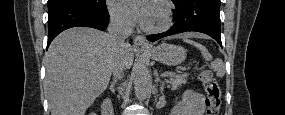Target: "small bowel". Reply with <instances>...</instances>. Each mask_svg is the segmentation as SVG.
I'll list each match as a JSON object with an SVG mask.
<instances>
[{
	"instance_id": "c3829d8e",
	"label": "small bowel",
	"mask_w": 285,
	"mask_h": 115,
	"mask_svg": "<svg viewBox=\"0 0 285 115\" xmlns=\"http://www.w3.org/2000/svg\"><path fill=\"white\" fill-rule=\"evenodd\" d=\"M205 110L202 94L187 90L171 108V115H203Z\"/></svg>"
}]
</instances>
